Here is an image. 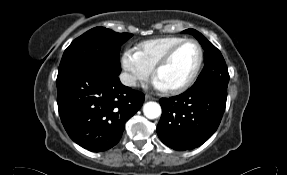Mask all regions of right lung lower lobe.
Wrapping results in <instances>:
<instances>
[{"label": "right lung lower lobe", "mask_w": 287, "mask_h": 175, "mask_svg": "<svg viewBox=\"0 0 287 175\" xmlns=\"http://www.w3.org/2000/svg\"><path fill=\"white\" fill-rule=\"evenodd\" d=\"M63 126L81 147L101 152L116 145L125 122L142 106L144 94L124 86L118 75L81 67L57 76Z\"/></svg>", "instance_id": "obj_1"}]
</instances>
